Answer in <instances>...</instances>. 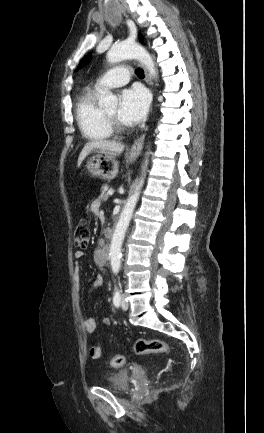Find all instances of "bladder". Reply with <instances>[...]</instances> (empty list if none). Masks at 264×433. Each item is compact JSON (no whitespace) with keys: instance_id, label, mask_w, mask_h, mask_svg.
Listing matches in <instances>:
<instances>
[{"instance_id":"bladder-1","label":"bladder","mask_w":264,"mask_h":433,"mask_svg":"<svg viewBox=\"0 0 264 433\" xmlns=\"http://www.w3.org/2000/svg\"><path fill=\"white\" fill-rule=\"evenodd\" d=\"M129 373L119 371L112 373L107 378L106 387L116 392H126L129 386Z\"/></svg>"}]
</instances>
